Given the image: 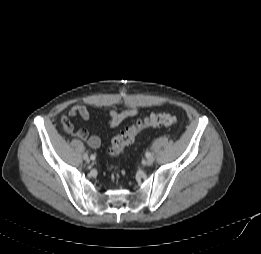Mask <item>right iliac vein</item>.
Segmentation results:
<instances>
[{
    "label": "right iliac vein",
    "instance_id": "63e3f726",
    "mask_svg": "<svg viewBox=\"0 0 261 254\" xmlns=\"http://www.w3.org/2000/svg\"><path fill=\"white\" fill-rule=\"evenodd\" d=\"M83 159H84L86 162H89V161H90V158L88 157L87 154H84V155H83Z\"/></svg>",
    "mask_w": 261,
    "mask_h": 254
}]
</instances>
